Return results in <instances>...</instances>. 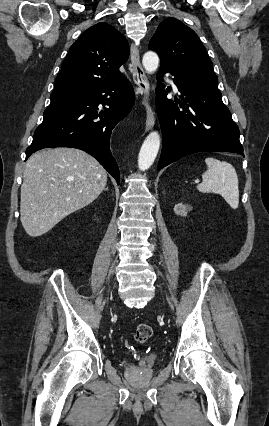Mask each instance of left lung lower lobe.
<instances>
[{"label": "left lung lower lobe", "mask_w": 269, "mask_h": 426, "mask_svg": "<svg viewBox=\"0 0 269 426\" xmlns=\"http://www.w3.org/2000/svg\"><path fill=\"white\" fill-rule=\"evenodd\" d=\"M165 73L174 76L182 102L179 109L172 100L167 99L164 84H158L156 107L163 134L158 169L196 152L224 151L244 156L239 129L222 102L218 81L190 75L169 66H160L158 81Z\"/></svg>", "instance_id": "1"}]
</instances>
